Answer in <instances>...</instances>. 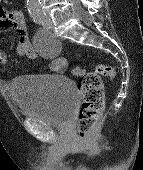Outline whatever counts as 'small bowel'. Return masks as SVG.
<instances>
[{"mask_svg": "<svg viewBox=\"0 0 143 170\" xmlns=\"http://www.w3.org/2000/svg\"><path fill=\"white\" fill-rule=\"evenodd\" d=\"M1 1V0H0ZM15 29L19 34L17 52L21 56L29 59H38L39 53L30 42L27 36V23L24 13L19 10H7L0 4V31ZM50 45L55 51L59 49V43L55 40L50 41ZM61 58L51 56L50 69L58 72L59 61ZM7 61L5 52L0 48V65Z\"/></svg>", "mask_w": 143, "mask_h": 170, "instance_id": "obj_1", "label": "small bowel"}]
</instances>
